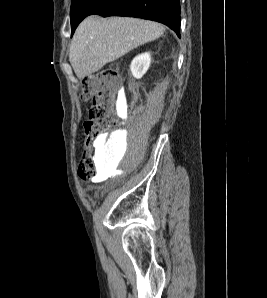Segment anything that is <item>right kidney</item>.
<instances>
[{"mask_svg": "<svg viewBox=\"0 0 267 298\" xmlns=\"http://www.w3.org/2000/svg\"><path fill=\"white\" fill-rule=\"evenodd\" d=\"M151 63V56L149 52L142 53L138 56H136L130 65V70L132 72V75L136 79H140L143 77V75L147 72L149 69Z\"/></svg>", "mask_w": 267, "mask_h": 298, "instance_id": "obj_1", "label": "right kidney"}]
</instances>
